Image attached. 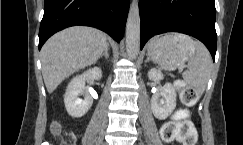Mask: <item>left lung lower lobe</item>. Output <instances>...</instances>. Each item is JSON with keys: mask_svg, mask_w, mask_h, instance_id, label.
I'll list each match as a JSON object with an SVG mask.
<instances>
[{"mask_svg": "<svg viewBox=\"0 0 243 145\" xmlns=\"http://www.w3.org/2000/svg\"><path fill=\"white\" fill-rule=\"evenodd\" d=\"M141 46L154 35L180 32L203 42L213 60L217 48L214 0H139Z\"/></svg>", "mask_w": 243, "mask_h": 145, "instance_id": "1", "label": "left lung lower lobe"}]
</instances>
